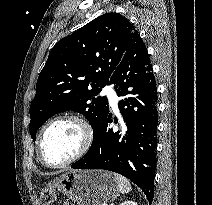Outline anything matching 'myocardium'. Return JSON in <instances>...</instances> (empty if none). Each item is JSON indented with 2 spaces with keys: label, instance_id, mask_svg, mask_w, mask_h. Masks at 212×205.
Segmentation results:
<instances>
[{
  "label": "myocardium",
  "instance_id": "obj_1",
  "mask_svg": "<svg viewBox=\"0 0 212 205\" xmlns=\"http://www.w3.org/2000/svg\"><path fill=\"white\" fill-rule=\"evenodd\" d=\"M61 121H70V122H74L75 124H77L82 133V142H81V145H80L78 151L73 156H71L70 158H68L67 160H65L61 163L52 164V163L47 162L43 156L42 142H43V138H44L47 130L52 125H54L58 122H61ZM93 140H94L93 127H92L91 123L84 116H82L80 114H75V113L62 114V115H58V116L52 118L42 127V129L38 135V139H37V154H38L40 161L44 165H46L50 168H62V167H66V166L74 163L75 161H77L81 157H83L90 149V147L93 143Z\"/></svg>",
  "mask_w": 212,
  "mask_h": 205
}]
</instances>
